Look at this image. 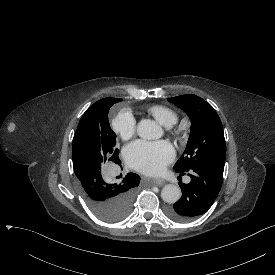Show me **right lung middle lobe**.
Returning <instances> with one entry per match:
<instances>
[{
    "mask_svg": "<svg viewBox=\"0 0 275 275\" xmlns=\"http://www.w3.org/2000/svg\"><path fill=\"white\" fill-rule=\"evenodd\" d=\"M122 99L91 106L82 116L72 145L73 168L82 197L100 218L118 221L132 206L140 177L129 173L118 158L116 136L110 128V107Z\"/></svg>",
    "mask_w": 275,
    "mask_h": 275,
    "instance_id": "dd1d6c3e",
    "label": "right lung middle lobe"
}]
</instances>
